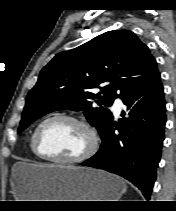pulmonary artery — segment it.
I'll list each match as a JSON object with an SVG mask.
<instances>
[{
    "instance_id": "obj_1",
    "label": "pulmonary artery",
    "mask_w": 176,
    "mask_h": 211,
    "mask_svg": "<svg viewBox=\"0 0 176 211\" xmlns=\"http://www.w3.org/2000/svg\"><path fill=\"white\" fill-rule=\"evenodd\" d=\"M123 107H124V104H123L122 100L116 99L114 101L112 109H113L115 116H119Z\"/></svg>"
}]
</instances>
